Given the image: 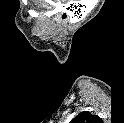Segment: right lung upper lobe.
I'll return each mask as SVG.
<instances>
[{
  "mask_svg": "<svg viewBox=\"0 0 124 123\" xmlns=\"http://www.w3.org/2000/svg\"><path fill=\"white\" fill-rule=\"evenodd\" d=\"M95 121H100V118L96 115H92L90 112L79 113L71 122L73 123H92Z\"/></svg>",
  "mask_w": 124,
  "mask_h": 123,
  "instance_id": "obj_1",
  "label": "right lung upper lobe"
}]
</instances>
